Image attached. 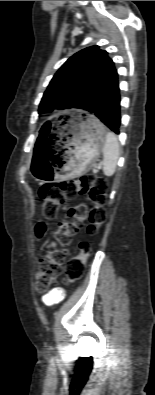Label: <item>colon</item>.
<instances>
[{"instance_id":"1","label":"colon","mask_w":155,"mask_h":395,"mask_svg":"<svg viewBox=\"0 0 155 395\" xmlns=\"http://www.w3.org/2000/svg\"><path fill=\"white\" fill-rule=\"evenodd\" d=\"M107 182L101 177L91 174L81 175L75 179L43 185L39 190V198L43 215L47 219H54L59 208L66 200L87 195L91 202L88 207L79 204L68 209L59 223L53 236L62 244L67 245L71 237L88 222L87 231L94 234L106 219L105 197ZM45 232L43 224L37 225L36 236L41 238ZM91 254V245L88 242L80 244V252L71 258L65 268V288H72L73 283L79 280L84 272L85 262ZM62 254L59 250L48 252L39 264L36 289L45 292L56 280L62 270Z\"/></svg>"}]
</instances>
